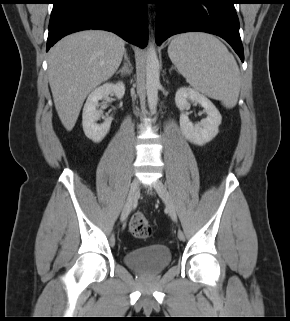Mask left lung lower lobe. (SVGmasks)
I'll list each match as a JSON object with an SVG mask.
<instances>
[{
  "mask_svg": "<svg viewBox=\"0 0 290 321\" xmlns=\"http://www.w3.org/2000/svg\"><path fill=\"white\" fill-rule=\"evenodd\" d=\"M154 3L157 4L155 38L158 45L178 33L207 32L225 39L244 61L234 8L237 0H155Z\"/></svg>",
  "mask_w": 290,
  "mask_h": 321,
  "instance_id": "0a47b994",
  "label": "left lung lower lobe"
}]
</instances>
